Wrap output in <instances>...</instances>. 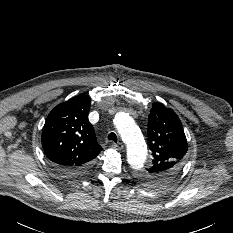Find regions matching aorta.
<instances>
[{
  "label": "aorta",
  "mask_w": 233,
  "mask_h": 233,
  "mask_svg": "<svg viewBox=\"0 0 233 233\" xmlns=\"http://www.w3.org/2000/svg\"><path fill=\"white\" fill-rule=\"evenodd\" d=\"M114 124L122 140L127 145V161L134 169L143 166L147 158V148L139 127L128 113L116 114Z\"/></svg>",
  "instance_id": "obj_1"
}]
</instances>
